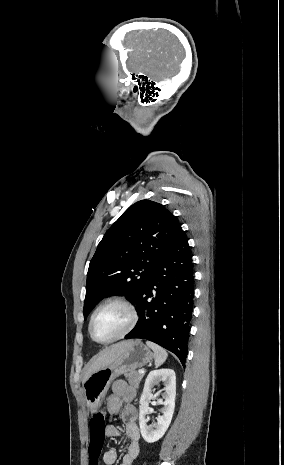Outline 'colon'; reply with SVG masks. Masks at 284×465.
Listing matches in <instances>:
<instances>
[{
    "label": "colon",
    "instance_id": "colon-1",
    "mask_svg": "<svg viewBox=\"0 0 284 465\" xmlns=\"http://www.w3.org/2000/svg\"><path fill=\"white\" fill-rule=\"evenodd\" d=\"M91 421H88L87 428L89 431L90 446L86 447V454L91 465H97L101 459V448L105 447V438L107 433V424L104 421L103 413H92Z\"/></svg>",
    "mask_w": 284,
    "mask_h": 465
}]
</instances>
